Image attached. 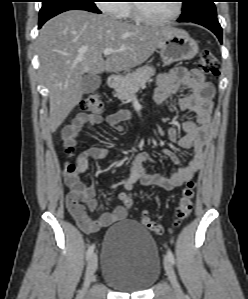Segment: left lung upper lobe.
I'll list each match as a JSON object with an SVG mask.
<instances>
[{
  "label": "left lung upper lobe",
  "instance_id": "left-lung-upper-lobe-1",
  "mask_svg": "<svg viewBox=\"0 0 248 299\" xmlns=\"http://www.w3.org/2000/svg\"><path fill=\"white\" fill-rule=\"evenodd\" d=\"M214 0H183L182 22H192L202 18H217Z\"/></svg>",
  "mask_w": 248,
  "mask_h": 299
}]
</instances>
